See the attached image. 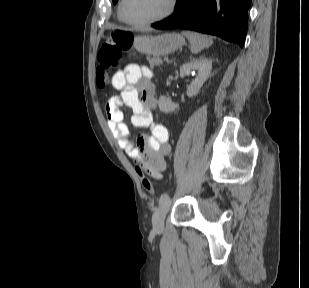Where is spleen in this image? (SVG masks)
Segmentation results:
<instances>
[{
  "label": "spleen",
  "mask_w": 309,
  "mask_h": 288,
  "mask_svg": "<svg viewBox=\"0 0 309 288\" xmlns=\"http://www.w3.org/2000/svg\"><path fill=\"white\" fill-rule=\"evenodd\" d=\"M182 35L187 37L190 42V50L191 53L197 54L203 49L211 46L213 44V40L211 37L206 35L193 32V31H183Z\"/></svg>",
  "instance_id": "obj_1"
}]
</instances>
